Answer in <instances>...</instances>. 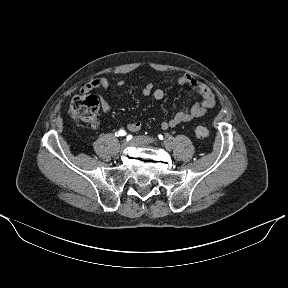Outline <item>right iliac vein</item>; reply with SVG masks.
<instances>
[{
	"label": "right iliac vein",
	"mask_w": 288,
	"mask_h": 288,
	"mask_svg": "<svg viewBox=\"0 0 288 288\" xmlns=\"http://www.w3.org/2000/svg\"><path fill=\"white\" fill-rule=\"evenodd\" d=\"M131 144V142H127V141H124L121 146H120V149L121 150H124L127 146H129Z\"/></svg>",
	"instance_id": "right-iliac-vein-1"
}]
</instances>
